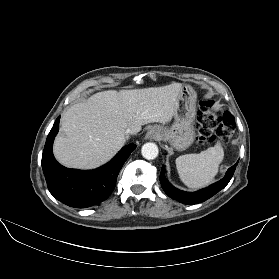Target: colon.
<instances>
[{
  "instance_id": "1",
  "label": "colon",
  "mask_w": 279,
  "mask_h": 279,
  "mask_svg": "<svg viewBox=\"0 0 279 279\" xmlns=\"http://www.w3.org/2000/svg\"><path fill=\"white\" fill-rule=\"evenodd\" d=\"M197 142L201 145L212 143L219 139L228 141L234 132V118L229 113L215 107L212 100H205L200 104L196 121Z\"/></svg>"
}]
</instances>
